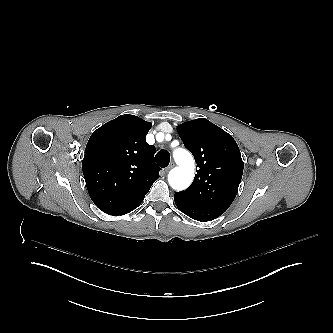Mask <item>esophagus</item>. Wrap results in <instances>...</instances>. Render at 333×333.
Instances as JSON below:
<instances>
[{"label": "esophagus", "mask_w": 333, "mask_h": 333, "mask_svg": "<svg viewBox=\"0 0 333 333\" xmlns=\"http://www.w3.org/2000/svg\"><path fill=\"white\" fill-rule=\"evenodd\" d=\"M175 166L174 162H171L168 167L165 168V173H168Z\"/></svg>", "instance_id": "esophagus-1"}]
</instances>
